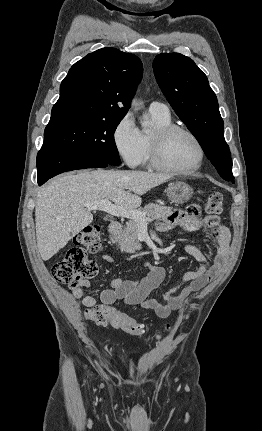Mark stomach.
<instances>
[{
    "mask_svg": "<svg viewBox=\"0 0 262 431\" xmlns=\"http://www.w3.org/2000/svg\"><path fill=\"white\" fill-rule=\"evenodd\" d=\"M168 199L175 204H183L187 202L193 195V189L182 181L172 182L167 189Z\"/></svg>",
    "mask_w": 262,
    "mask_h": 431,
    "instance_id": "obj_1",
    "label": "stomach"
}]
</instances>
